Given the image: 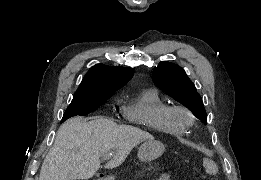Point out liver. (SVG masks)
<instances>
[{
	"mask_svg": "<svg viewBox=\"0 0 261 180\" xmlns=\"http://www.w3.org/2000/svg\"><path fill=\"white\" fill-rule=\"evenodd\" d=\"M88 120L76 116L60 126L54 146L43 160L39 180H89L98 172L103 156L114 154L104 166L114 168L135 146L153 140L149 132L118 126L103 116Z\"/></svg>",
	"mask_w": 261,
	"mask_h": 180,
	"instance_id": "6515ba94",
	"label": "liver"
}]
</instances>
